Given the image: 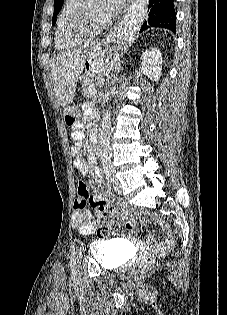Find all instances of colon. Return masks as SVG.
<instances>
[{
	"label": "colon",
	"instance_id": "colon-1",
	"mask_svg": "<svg viewBox=\"0 0 227 315\" xmlns=\"http://www.w3.org/2000/svg\"><path fill=\"white\" fill-rule=\"evenodd\" d=\"M64 119L67 126H75L78 120V109L76 107H68L64 111ZM108 201L109 196L106 193L94 192L90 193L88 190L87 183L84 181H79L77 183V199L74 203V210L76 212H81L85 210L88 206L97 210L98 214L101 216H107L108 211ZM100 228L97 230V234L101 238H109L115 235L120 226L124 224L122 219L116 221H108L107 218L100 219ZM132 222H127L125 227L127 229L133 228ZM153 265V259L146 257L140 259L136 262L134 267V272L136 274H142L149 270Z\"/></svg>",
	"mask_w": 227,
	"mask_h": 315
}]
</instances>
